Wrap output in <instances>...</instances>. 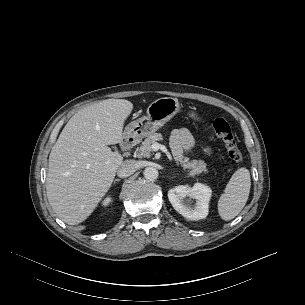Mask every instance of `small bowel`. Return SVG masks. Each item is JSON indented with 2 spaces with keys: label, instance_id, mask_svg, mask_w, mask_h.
Masks as SVG:
<instances>
[{
  "label": "small bowel",
  "instance_id": "small-bowel-1",
  "mask_svg": "<svg viewBox=\"0 0 305 305\" xmlns=\"http://www.w3.org/2000/svg\"><path fill=\"white\" fill-rule=\"evenodd\" d=\"M195 142L192 134L186 129H177L171 135V148L176 159L191 152Z\"/></svg>",
  "mask_w": 305,
  "mask_h": 305
}]
</instances>
